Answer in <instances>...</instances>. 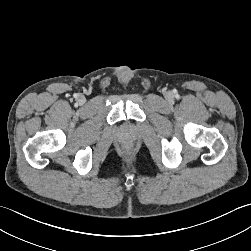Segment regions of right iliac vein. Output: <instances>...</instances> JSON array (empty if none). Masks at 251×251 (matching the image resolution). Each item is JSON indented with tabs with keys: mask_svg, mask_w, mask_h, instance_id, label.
I'll use <instances>...</instances> for the list:
<instances>
[{
	"mask_svg": "<svg viewBox=\"0 0 251 251\" xmlns=\"http://www.w3.org/2000/svg\"><path fill=\"white\" fill-rule=\"evenodd\" d=\"M78 102H79L80 104L85 103V98H84L83 96H80L79 99H78Z\"/></svg>",
	"mask_w": 251,
	"mask_h": 251,
	"instance_id": "63e3f726",
	"label": "right iliac vein"
}]
</instances>
